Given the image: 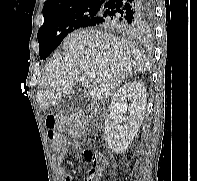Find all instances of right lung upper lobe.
I'll return each instance as SVG.
<instances>
[{"label": "right lung upper lobe", "mask_w": 197, "mask_h": 181, "mask_svg": "<svg viewBox=\"0 0 197 181\" xmlns=\"http://www.w3.org/2000/svg\"><path fill=\"white\" fill-rule=\"evenodd\" d=\"M107 1L109 0H47L43 6V16L48 17L87 5H104Z\"/></svg>", "instance_id": "right-lung-upper-lobe-1"}]
</instances>
